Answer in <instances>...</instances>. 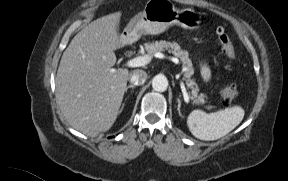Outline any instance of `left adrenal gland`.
Instances as JSON below:
<instances>
[{"instance_id": "left-adrenal-gland-1", "label": "left adrenal gland", "mask_w": 288, "mask_h": 181, "mask_svg": "<svg viewBox=\"0 0 288 181\" xmlns=\"http://www.w3.org/2000/svg\"><path fill=\"white\" fill-rule=\"evenodd\" d=\"M177 102H178L177 111H178L179 115L181 116V112H180L181 101H180V99H177Z\"/></svg>"}]
</instances>
